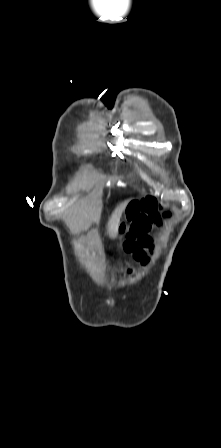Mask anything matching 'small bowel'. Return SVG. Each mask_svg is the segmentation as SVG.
<instances>
[{
    "mask_svg": "<svg viewBox=\"0 0 221 448\" xmlns=\"http://www.w3.org/2000/svg\"><path fill=\"white\" fill-rule=\"evenodd\" d=\"M135 217L144 219L147 222V227L145 229H141L135 224L134 218H129L128 225H125V227L121 229V232L126 233L127 235L124 242V248L126 251L132 252L134 255H136L140 249L148 247L150 244V242L144 243L142 241V237L145 236L144 234L151 229L153 224L152 219L145 209H136Z\"/></svg>",
    "mask_w": 221,
    "mask_h": 448,
    "instance_id": "1",
    "label": "small bowel"
}]
</instances>
